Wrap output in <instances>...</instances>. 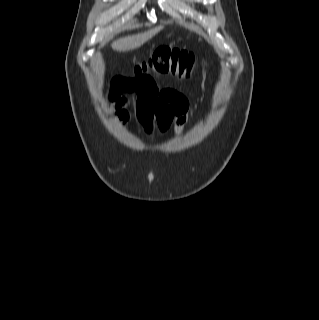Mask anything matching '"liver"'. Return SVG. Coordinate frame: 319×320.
Masks as SVG:
<instances>
[{"instance_id":"liver-1","label":"liver","mask_w":319,"mask_h":320,"mask_svg":"<svg viewBox=\"0 0 319 320\" xmlns=\"http://www.w3.org/2000/svg\"><path fill=\"white\" fill-rule=\"evenodd\" d=\"M162 26L155 27L143 33L129 35L112 42L111 47L118 52H126L141 47L144 43L160 32Z\"/></svg>"}]
</instances>
